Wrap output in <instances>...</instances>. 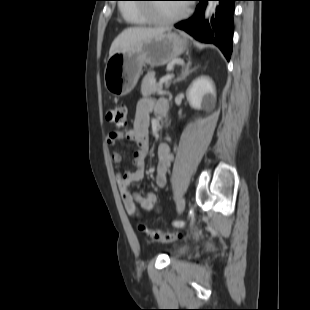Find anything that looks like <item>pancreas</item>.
Instances as JSON below:
<instances>
[{
	"label": "pancreas",
	"mask_w": 310,
	"mask_h": 310,
	"mask_svg": "<svg viewBox=\"0 0 310 310\" xmlns=\"http://www.w3.org/2000/svg\"><path fill=\"white\" fill-rule=\"evenodd\" d=\"M169 81L165 83L166 87H169ZM162 90V85L156 83L155 73L149 71L147 75L143 78L141 84V94L143 96L151 95Z\"/></svg>",
	"instance_id": "pancreas-1"
}]
</instances>
